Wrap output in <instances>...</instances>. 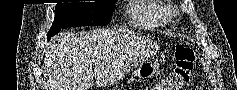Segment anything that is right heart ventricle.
Instances as JSON below:
<instances>
[{
    "label": "right heart ventricle",
    "instance_id": "e07e8e85",
    "mask_svg": "<svg viewBox=\"0 0 237 90\" xmlns=\"http://www.w3.org/2000/svg\"><path fill=\"white\" fill-rule=\"evenodd\" d=\"M145 2L143 7H129V19L133 28L138 29H160L167 25V19L161 14H170L168 7L170 2H158V0H136ZM149 2H154V6H149ZM155 10H160V14H155Z\"/></svg>",
    "mask_w": 237,
    "mask_h": 90
}]
</instances>
